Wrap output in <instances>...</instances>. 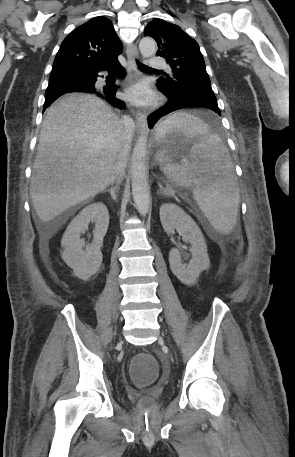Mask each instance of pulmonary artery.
Instances as JSON below:
<instances>
[{"mask_svg": "<svg viewBox=\"0 0 295 457\" xmlns=\"http://www.w3.org/2000/svg\"><path fill=\"white\" fill-rule=\"evenodd\" d=\"M149 65L151 68H153L155 70L167 68L165 61L160 57L150 58Z\"/></svg>", "mask_w": 295, "mask_h": 457, "instance_id": "1", "label": "pulmonary artery"}]
</instances>
